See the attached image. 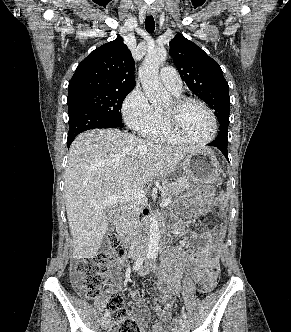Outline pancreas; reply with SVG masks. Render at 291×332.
<instances>
[{"instance_id":"cf45deb5","label":"pancreas","mask_w":291,"mask_h":332,"mask_svg":"<svg viewBox=\"0 0 291 332\" xmlns=\"http://www.w3.org/2000/svg\"><path fill=\"white\" fill-rule=\"evenodd\" d=\"M193 187H195V185L187 181L167 184L160 189L161 198L163 201L167 199L171 200L174 196L178 195L182 191ZM144 206L145 204L143 202H138V201L128 206L126 211L121 216L120 228L128 229L132 223L131 220L138 219L139 214L144 208Z\"/></svg>"}]
</instances>
